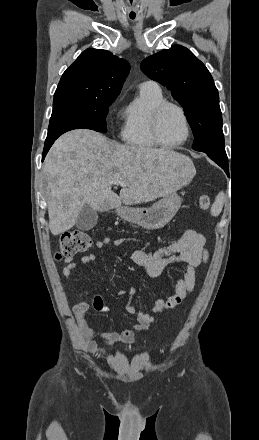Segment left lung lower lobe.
Masks as SVG:
<instances>
[{"instance_id":"obj_1","label":"left lung lower lobe","mask_w":259,"mask_h":440,"mask_svg":"<svg viewBox=\"0 0 259 440\" xmlns=\"http://www.w3.org/2000/svg\"><path fill=\"white\" fill-rule=\"evenodd\" d=\"M219 166H221L226 173H228V158L226 152H204Z\"/></svg>"}]
</instances>
